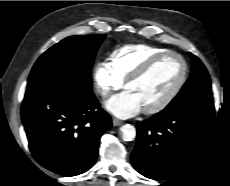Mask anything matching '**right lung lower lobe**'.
Wrapping results in <instances>:
<instances>
[{
  "label": "right lung lower lobe",
  "mask_w": 230,
  "mask_h": 186,
  "mask_svg": "<svg viewBox=\"0 0 230 186\" xmlns=\"http://www.w3.org/2000/svg\"><path fill=\"white\" fill-rule=\"evenodd\" d=\"M21 115L34 158L63 176L82 174L94 165L99 140L112 125L92 91L64 83L26 91Z\"/></svg>",
  "instance_id": "1"
}]
</instances>
